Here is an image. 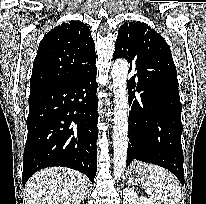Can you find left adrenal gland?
<instances>
[{"label": "left adrenal gland", "instance_id": "1", "mask_svg": "<svg viewBox=\"0 0 206 204\" xmlns=\"http://www.w3.org/2000/svg\"><path fill=\"white\" fill-rule=\"evenodd\" d=\"M130 183H131V182H130V181H128V185H130Z\"/></svg>", "mask_w": 206, "mask_h": 204}]
</instances>
